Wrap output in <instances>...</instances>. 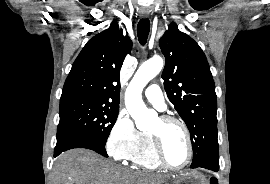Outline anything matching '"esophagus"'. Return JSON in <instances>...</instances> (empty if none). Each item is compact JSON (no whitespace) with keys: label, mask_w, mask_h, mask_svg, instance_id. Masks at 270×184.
<instances>
[{"label":"esophagus","mask_w":270,"mask_h":184,"mask_svg":"<svg viewBox=\"0 0 270 184\" xmlns=\"http://www.w3.org/2000/svg\"><path fill=\"white\" fill-rule=\"evenodd\" d=\"M140 14L143 18H147L149 17L150 11L146 8H143L140 10Z\"/></svg>","instance_id":"1"}]
</instances>
